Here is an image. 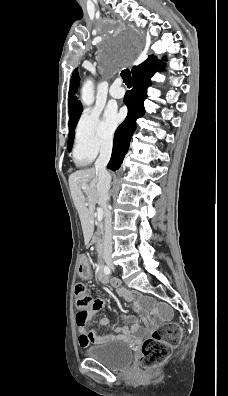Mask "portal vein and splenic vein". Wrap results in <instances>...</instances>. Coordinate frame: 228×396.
I'll return each mask as SVG.
<instances>
[{"mask_svg": "<svg viewBox=\"0 0 228 396\" xmlns=\"http://www.w3.org/2000/svg\"><path fill=\"white\" fill-rule=\"evenodd\" d=\"M97 220L100 222L103 219V210L101 208H97Z\"/></svg>", "mask_w": 228, "mask_h": 396, "instance_id": "obj_1", "label": "portal vein and splenic vein"}]
</instances>
